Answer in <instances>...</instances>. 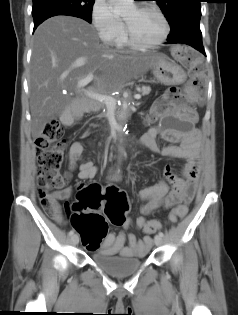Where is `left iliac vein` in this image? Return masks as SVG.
<instances>
[{
	"label": "left iliac vein",
	"instance_id": "4c4485c4",
	"mask_svg": "<svg viewBox=\"0 0 238 315\" xmlns=\"http://www.w3.org/2000/svg\"><path fill=\"white\" fill-rule=\"evenodd\" d=\"M154 241H155V245H156V246H161L162 243H163V239H162V237L159 236V235H156V236H155Z\"/></svg>",
	"mask_w": 238,
	"mask_h": 315
}]
</instances>
